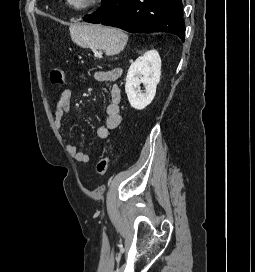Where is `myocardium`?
<instances>
[{
  "label": "myocardium",
  "mask_w": 255,
  "mask_h": 272,
  "mask_svg": "<svg viewBox=\"0 0 255 272\" xmlns=\"http://www.w3.org/2000/svg\"><path fill=\"white\" fill-rule=\"evenodd\" d=\"M67 6L76 12H84L97 7L101 0H65Z\"/></svg>",
  "instance_id": "1"
}]
</instances>
